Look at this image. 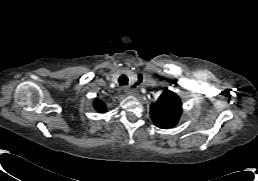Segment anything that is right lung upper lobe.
Instances as JSON below:
<instances>
[{
	"mask_svg": "<svg viewBox=\"0 0 258 181\" xmlns=\"http://www.w3.org/2000/svg\"><path fill=\"white\" fill-rule=\"evenodd\" d=\"M94 106L98 112L100 113L106 112V105L102 101L96 100Z\"/></svg>",
	"mask_w": 258,
	"mask_h": 181,
	"instance_id": "right-lung-upper-lobe-1",
	"label": "right lung upper lobe"
}]
</instances>
